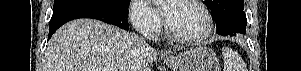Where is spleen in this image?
I'll list each match as a JSON object with an SVG mask.
<instances>
[{
	"mask_svg": "<svg viewBox=\"0 0 301 71\" xmlns=\"http://www.w3.org/2000/svg\"><path fill=\"white\" fill-rule=\"evenodd\" d=\"M222 54L224 57L223 71H247L246 64L242 58L231 48L223 47Z\"/></svg>",
	"mask_w": 301,
	"mask_h": 71,
	"instance_id": "spleen-1",
	"label": "spleen"
}]
</instances>
